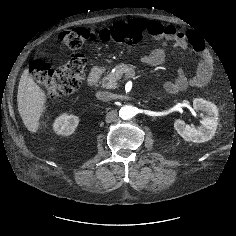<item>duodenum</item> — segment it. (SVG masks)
I'll return each instance as SVG.
<instances>
[{
  "mask_svg": "<svg viewBox=\"0 0 236 236\" xmlns=\"http://www.w3.org/2000/svg\"><path fill=\"white\" fill-rule=\"evenodd\" d=\"M104 72V67L102 65H95L87 77V83L89 85L96 84Z\"/></svg>",
  "mask_w": 236,
  "mask_h": 236,
  "instance_id": "410a0bca",
  "label": "duodenum"
}]
</instances>
